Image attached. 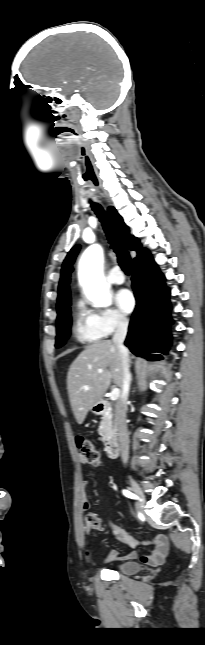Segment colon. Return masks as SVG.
I'll return each instance as SVG.
<instances>
[{
  "mask_svg": "<svg viewBox=\"0 0 205 645\" xmlns=\"http://www.w3.org/2000/svg\"><path fill=\"white\" fill-rule=\"evenodd\" d=\"M76 445L80 452L81 457L91 465H98L101 461V456L99 451L94 446L93 442L85 437L77 436ZM86 524L89 528L99 529L100 522L97 517L93 514H88L86 516Z\"/></svg>",
  "mask_w": 205,
  "mask_h": 645,
  "instance_id": "5ec220e1",
  "label": "colon"
}]
</instances>
